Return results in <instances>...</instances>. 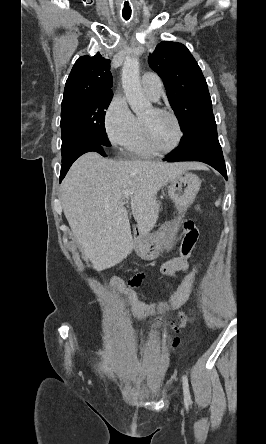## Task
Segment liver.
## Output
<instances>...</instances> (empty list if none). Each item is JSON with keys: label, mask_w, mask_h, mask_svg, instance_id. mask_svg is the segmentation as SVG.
I'll return each instance as SVG.
<instances>
[{"label": "liver", "mask_w": 266, "mask_h": 444, "mask_svg": "<svg viewBox=\"0 0 266 444\" xmlns=\"http://www.w3.org/2000/svg\"><path fill=\"white\" fill-rule=\"evenodd\" d=\"M199 163L123 161L89 152L77 159L61 184V201L85 259L97 271L122 262L133 250L124 190L141 237L157 220L156 195L177 175L203 169Z\"/></svg>", "instance_id": "1"}]
</instances>
